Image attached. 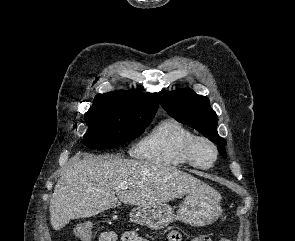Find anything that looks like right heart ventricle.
Segmentation results:
<instances>
[{"label": "right heart ventricle", "mask_w": 295, "mask_h": 241, "mask_svg": "<svg viewBox=\"0 0 295 241\" xmlns=\"http://www.w3.org/2000/svg\"><path fill=\"white\" fill-rule=\"evenodd\" d=\"M195 134L175 119L159 122L136 147V155L148 162L168 166L189 165L185 147Z\"/></svg>", "instance_id": "e07e8e85"}]
</instances>
